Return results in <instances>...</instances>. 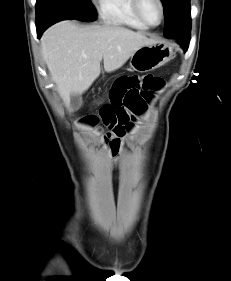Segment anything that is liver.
<instances>
[{
    "mask_svg": "<svg viewBox=\"0 0 231 281\" xmlns=\"http://www.w3.org/2000/svg\"><path fill=\"white\" fill-rule=\"evenodd\" d=\"M157 43L140 32L117 25L80 27L61 21L47 29L41 38V53L51 80L68 107L71 95L84 93L101 73L122 67L134 52Z\"/></svg>",
    "mask_w": 231,
    "mask_h": 281,
    "instance_id": "liver-1",
    "label": "liver"
}]
</instances>
